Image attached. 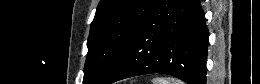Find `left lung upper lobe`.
<instances>
[{
  "label": "left lung upper lobe",
  "instance_id": "left-lung-upper-lobe-1",
  "mask_svg": "<svg viewBox=\"0 0 260 84\" xmlns=\"http://www.w3.org/2000/svg\"><path fill=\"white\" fill-rule=\"evenodd\" d=\"M158 0H101L91 23L83 84H102Z\"/></svg>",
  "mask_w": 260,
  "mask_h": 84
}]
</instances>
